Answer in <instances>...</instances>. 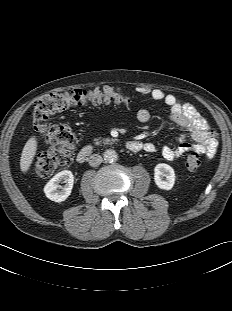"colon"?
Wrapping results in <instances>:
<instances>
[{"label":"colon","instance_id":"colon-1","mask_svg":"<svg viewBox=\"0 0 232 311\" xmlns=\"http://www.w3.org/2000/svg\"><path fill=\"white\" fill-rule=\"evenodd\" d=\"M86 102L127 103L124 92L117 88L100 87L92 90L74 89L65 93H53L38 99L32 111L33 128L49 148L36 158L34 172L41 177L52 175L57 169L67 165L75 147L76 138L70 127L63 124H51L49 117L73 106ZM200 166L197 153H191L186 159V167L195 171Z\"/></svg>","mask_w":232,"mask_h":311}]
</instances>
